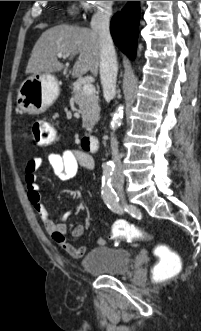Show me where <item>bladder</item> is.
Here are the masks:
<instances>
[{
    "mask_svg": "<svg viewBox=\"0 0 201 331\" xmlns=\"http://www.w3.org/2000/svg\"><path fill=\"white\" fill-rule=\"evenodd\" d=\"M132 258L127 249L99 245L82 258L81 266L86 272L98 276L118 277L128 272Z\"/></svg>",
    "mask_w": 201,
    "mask_h": 331,
    "instance_id": "bladder-1",
    "label": "bladder"
}]
</instances>
